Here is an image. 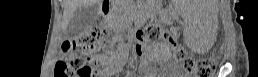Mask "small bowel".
Wrapping results in <instances>:
<instances>
[{"instance_id":"small-bowel-1","label":"small bowel","mask_w":258,"mask_h":77,"mask_svg":"<svg viewBox=\"0 0 258 77\" xmlns=\"http://www.w3.org/2000/svg\"><path fill=\"white\" fill-rule=\"evenodd\" d=\"M153 50L156 51L154 58L158 57L159 55L158 51H160V48L156 47V48H153ZM126 57H127L126 51L115 53L110 56H101L100 64L102 66V69L98 72L97 75H95V77H106L108 75L113 74L123 65Z\"/></svg>"}]
</instances>
